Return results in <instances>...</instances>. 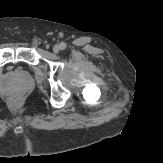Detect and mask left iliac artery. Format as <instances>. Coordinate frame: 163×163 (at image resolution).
Segmentation results:
<instances>
[{"label":"left iliac artery","instance_id":"left-iliac-artery-1","mask_svg":"<svg viewBox=\"0 0 163 163\" xmlns=\"http://www.w3.org/2000/svg\"><path fill=\"white\" fill-rule=\"evenodd\" d=\"M59 46L61 50H64L66 48V43L61 42Z\"/></svg>","mask_w":163,"mask_h":163}]
</instances>
